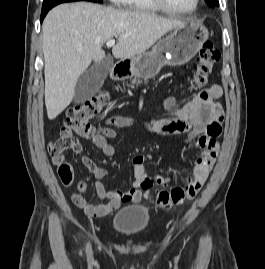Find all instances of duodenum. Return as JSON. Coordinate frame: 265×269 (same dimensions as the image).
I'll return each instance as SVG.
<instances>
[{
	"instance_id": "duodenum-1",
	"label": "duodenum",
	"mask_w": 265,
	"mask_h": 269,
	"mask_svg": "<svg viewBox=\"0 0 265 269\" xmlns=\"http://www.w3.org/2000/svg\"><path fill=\"white\" fill-rule=\"evenodd\" d=\"M128 73V68L121 63L116 64L112 69V77L115 80H119L125 77Z\"/></svg>"
}]
</instances>
